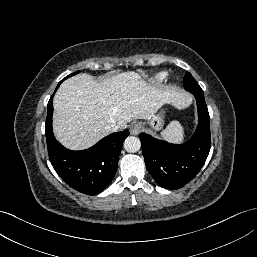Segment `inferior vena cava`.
Wrapping results in <instances>:
<instances>
[{
  "instance_id": "inferior-vena-cava-1",
  "label": "inferior vena cava",
  "mask_w": 257,
  "mask_h": 257,
  "mask_svg": "<svg viewBox=\"0 0 257 257\" xmlns=\"http://www.w3.org/2000/svg\"><path fill=\"white\" fill-rule=\"evenodd\" d=\"M106 131L108 132H116L119 129V125L116 123H111L105 126Z\"/></svg>"
}]
</instances>
